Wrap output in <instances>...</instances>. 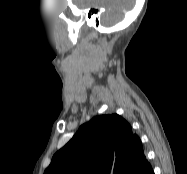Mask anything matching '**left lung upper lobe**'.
<instances>
[{
    "label": "left lung upper lobe",
    "instance_id": "obj_1",
    "mask_svg": "<svg viewBox=\"0 0 187 174\" xmlns=\"http://www.w3.org/2000/svg\"><path fill=\"white\" fill-rule=\"evenodd\" d=\"M148 161L140 138L117 114L83 124L52 158L44 174H131Z\"/></svg>",
    "mask_w": 187,
    "mask_h": 174
}]
</instances>
